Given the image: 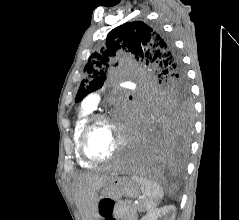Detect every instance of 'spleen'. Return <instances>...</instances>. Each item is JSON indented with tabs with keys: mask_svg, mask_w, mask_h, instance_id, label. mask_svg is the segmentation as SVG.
<instances>
[{
	"mask_svg": "<svg viewBox=\"0 0 239 220\" xmlns=\"http://www.w3.org/2000/svg\"><path fill=\"white\" fill-rule=\"evenodd\" d=\"M131 178L140 186L143 194L141 200L137 204V209L142 212L149 211L157 207L164 196L163 189L160 185L148 177L136 174L132 175Z\"/></svg>",
	"mask_w": 239,
	"mask_h": 220,
	"instance_id": "spleen-1",
	"label": "spleen"
}]
</instances>
